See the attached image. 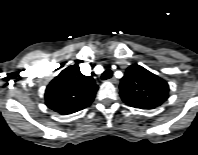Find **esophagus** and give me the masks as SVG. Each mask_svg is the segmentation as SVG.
I'll list each match as a JSON object with an SVG mask.
<instances>
[{
  "mask_svg": "<svg viewBox=\"0 0 198 155\" xmlns=\"http://www.w3.org/2000/svg\"><path fill=\"white\" fill-rule=\"evenodd\" d=\"M109 81L112 82V83H116L117 82L115 77L110 78Z\"/></svg>",
  "mask_w": 198,
  "mask_h": 155,
  "instance_id": "obj_1",
  "label": "esophagus"
}]
</instances>
